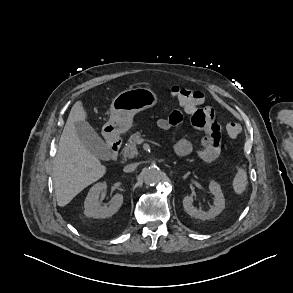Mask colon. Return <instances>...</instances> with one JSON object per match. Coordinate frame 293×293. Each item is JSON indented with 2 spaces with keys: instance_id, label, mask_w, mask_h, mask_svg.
Wrapping results in <instances>:
<instances>
[{
  "instance_id": "1",
  "label": "colon",
  "mask_w": 293,
  "mask_h": 293,
  "mask_svg": "<svg viewBox=\"0 0 293 293\" xmlns=\"http://www.w3.org/2000/svg\"><path fill=\"white\" fill-rule=\"evenodd\" d=\"M171 93L185 111L193 113L194 116L200 115L199 106L203 99L198 91L176 85L172 87ZM226 130L228 137L234 139L240 134L241 126L236 122H229Z\"/></svg>"
}]
</instances>
